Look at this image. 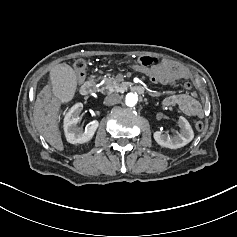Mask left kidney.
Masks as SVG:
<instances>
[{
    "mask_svg": "<svg viewBox=\"0 0 237 237\" xmlns=\"http://www.w3.org/2000/svg\"><path fill=\"white\" fill-rule=\"evenodd\" d=\"M177 124L180 127V131L174 136L155 131L153 137L156 143L164 148L177 149L185 146L191 140H193L194 132L188 120L183 116H180Z\"/></svg>",
    "mask_w": 237,
    "mask_h": 237,
    "instance_id": "left-kidney-1",
    "label": "left kidney"
}]
</instances>
